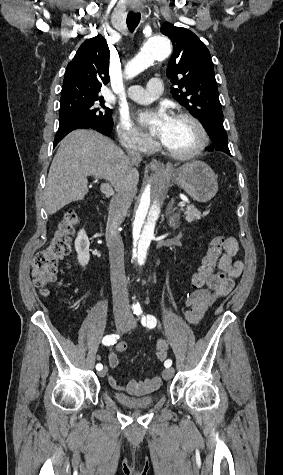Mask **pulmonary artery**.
I'll return each mask as SVG.
<instances>
[{"instance_id":"obj_1","label":"pulmonary artery","mask_w":283,"mask_h":475,"mask_svg":"<svg viewBox=\"0 0 283 475\" xmlns=\"http://www.w3.org/2000/svg\"><path fill=\"white\" fill-rule=\"evenodd\" d=\"M131 93V99L138 103H148L158 96L164 94L163 81L162 80H148L147 87L136 86L127 91Z\"/></svg>"}]
</instances>
